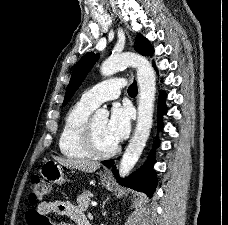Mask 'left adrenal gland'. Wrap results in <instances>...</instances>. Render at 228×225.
Wrapping results in <instances>:
<instances>
[{"label":"left adrenal gland","instance_id":"left-adrenal-gland-1","mask_svg":"<svg viewBox=\"0 0 228 225\" xmlns=\"http://www.w3.org/2000/svg\"><path fill=\"white\" fill-rule=\"evenodd\" d=\"M102 215H104V217H105V215H106V211H105V209H104V205H103Z\"/></svg>","mask_w":228,"mask_h":225}]
</instances>
